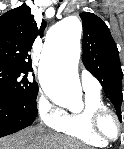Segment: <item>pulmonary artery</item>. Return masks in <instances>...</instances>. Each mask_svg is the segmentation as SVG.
<instances>
[{
  "label": "pulmonary artery",
  "mask_w": 124,
  "mask_h": 149,
  "mask_svg": "<svg viewBox=\"0 0 124 149\" xmlns=\"http://www.w3.org/2000/svg\"><path fill=\"white\" fill-rule=\"evenodd\" d=\"M81 85L84 91L99 92L101 85L99 81L86 69H82L80 73Z\"/></svg>",
  "instance_id": "e3ab8cb5"
}]
</instances>
